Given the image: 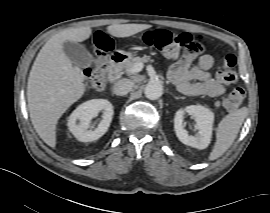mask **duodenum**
Segmentation results:
<instances>
[{"label": "duodenum", "mask_w": 270, "mask_h": 213, "mask_svg": "<svg viewBox=\"0 0 270 213\" xmlns=\"http://www.w3.org/2000/svg\"><path fill=\"white\" fill-rule=\"evenodd\" d=\"M125 59L122 53H114L109 57L108 63V78L114 82L118 79L120 73V66Z\"/></svg>", "instance_id": "duodenum-1"}]
</instances>
